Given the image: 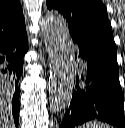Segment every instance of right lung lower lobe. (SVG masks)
Instances as JSON below:
<instances>
[{
  "mask_svg": "<svg viewBox=\"0 0 125 128\" xmlns=\"http://www.w3.org/2000/svg\"><path fill=\"white\" fill-rule=\"evenodd\" d=\"M28 51L26 30L0 42V73L11 78L6 81L8 90L12 92V115L16 127L19 123L20 87L19 78L22 74L23 56Z\"/></svg>",
  "mask_w": 125,
  "mask_h": 128,
  "instance_id": "98d812e1",
  "label": "right lung lower lobe"
}]
</instances>
